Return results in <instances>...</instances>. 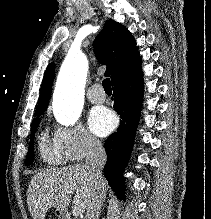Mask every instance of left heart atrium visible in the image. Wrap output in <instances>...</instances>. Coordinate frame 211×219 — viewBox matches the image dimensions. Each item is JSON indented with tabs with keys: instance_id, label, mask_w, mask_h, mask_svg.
I'll use <instances>...</instances> for the list:
<instances>
[{
	"instance_id": "1",
	"label": "left heart atrium",
	"mask_w": 211,
	"mask_h": 219,
	"mask_svg": "<svg viewBox=\"0 0 211 219\" xmlns=\"http://www.w3.org/2000/svg\"><path fill=\"white\" fill-rule=\"evenodd\" d=\"M116 124L114 114L105 107L94 108L89 116V126L98 136H105L113 130Z\"/></svg>"
}]
</instances>
